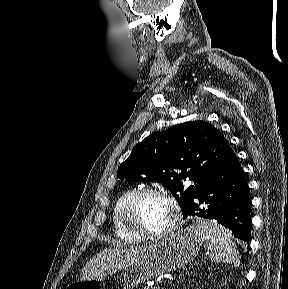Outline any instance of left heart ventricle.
<instances>
[{"label":"left heart ventricle","mask_w":288,"mask_h":289,"mask_svg":"<svg viewBox=\"0 0 288 289\" xmlns=\"http://www.w3.org/2000/svg\"><path fill=\"white\" fill-rule=\"evenodd\" d=\"M169 204L156 196H144L133 206L130 218L140 231L154 233L165 229L172 221Z\"/></svg>","instance_id":"obj_1"}]
</instances>
